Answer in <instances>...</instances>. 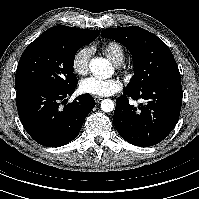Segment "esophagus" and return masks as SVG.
Masks as SVG:
<instances>
[{"label": "esophagus", "instance_id": "esophagus-1", "mask_svg": "<svg viewBox=\"0 0 199 199\" xmlns=\"http://www.w3.org/2000/svg\"><path fill=\"white\" fill-rule=\"evenodd\" d=\"M94 100H95L97 103H99L100 101L103 100V98L100 97V96H94Z\"/></svg>", "mask_w": 199, "mask_h": 199}]
</instances>
